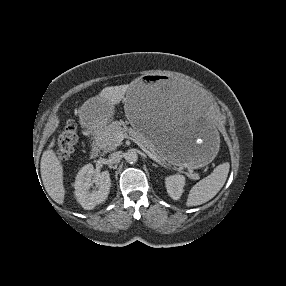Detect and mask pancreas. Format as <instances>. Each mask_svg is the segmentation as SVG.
<instances>
[{
	"instance_id": "obj_1",
	"label": "pancreas",
	"mask_w": 286,
	"mask_h": 286,
	"mask_svg": "<svg viewBox=\"0 0 286 286\" xmlns=\"http://www.w3.org/2000/svg\"><path fill=\"white\" fill-rule=\"evenodd\" d=\"M118 134H125L133 137L141 142L145 147L152 152L159 160L166 162V158L158 154L154 145L141 132L129 128L124 121H114L105 126L96 137V144L105 152L115 150L121 142L117 139ZM188 177L192 180H198L199 175L192 170L189 171Z\"/></svg>"
}]
</instances>
